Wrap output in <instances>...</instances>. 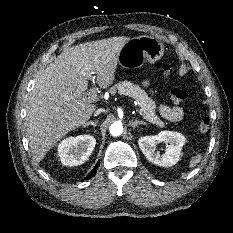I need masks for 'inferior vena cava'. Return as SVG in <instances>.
<instances>
[{"instance_id":"obj_1","label":"inferior vena cava","mask_w":233,"mask_h":233,"mask_svg":"<svg viewBox=\"0 0 233 233\" xmlns=\"http://www.w3.org/2000/svg\"><path fill=\"white\" fill-rule=\"evenodd\" d=\"M102 112H105V110H104L103 108H99V109H97V110L95 111L94 116H97V115H99V114L102 113Z\"/></svg>"}]
</instances>
